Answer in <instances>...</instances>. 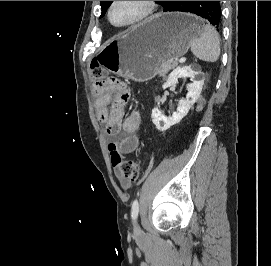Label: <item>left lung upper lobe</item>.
I'll list each match as a JSON object with an SVG mask.
<instances>
[{"label": "left lung upper lobe", "mask_w": 271, "mask_h": 266, "mask_svg": "<svg viewBox=\"0 0 271 266\" xmlns=\"http://www.w3.org/2000/svg\"><path fill=\"white\" fill-rule=\"evenodd\" d=\"M113 1H100L101 3V8H102V14L100 17H103L106 13L107 8L111 5ZM163 7H165L170 1H156Z\"/></svg>", "instance_id": "obj_1"}]
</instances>
